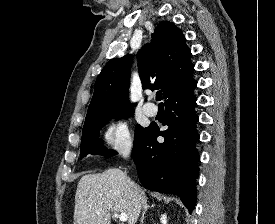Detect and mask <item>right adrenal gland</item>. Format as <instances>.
Wrapping results in <instances>:
<instances>
[{"instance_id": "right-adrenal-gland-1", "label": "right adrenal gland", "mask_w": 275, "mask_h": 224, "mask_svg": "<svg viewBox=\"0 0 275 224\" xmlns=\"http://www.w3.org/2000/svg\"><path fill=\"white\" fill-rule=\"evenodd\" d=\"M155 207V205L154 204H152L151 206L150 205H148L147 203L144 205V210H143V213H142V216H141V224H143V222H144V216H145V214H146V212H147V210L149 209V208H154Z\"/></svg>"}]
</instances>
